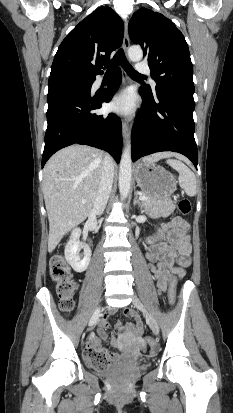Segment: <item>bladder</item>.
I'll return each instance as SVG.
<instances>
[{"instance_id":"1","label":"bladder","mask_w":233,"mask_h":413,"mask_svg":"<svg viewBox=\"0 0 233 413\" xmlns=\"http://www.w3.org/2000/svg\"><path fill=\"white\" fill-rule=\"evenodd\" d=\"M146 370H147V366L144 365V366H140V367L136 368L134 370V372H143V371H146Z\"/></svg>"}]
</instances>
